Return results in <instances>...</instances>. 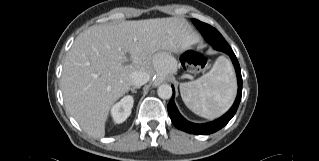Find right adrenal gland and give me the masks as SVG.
Here are the masks:
<instances>
[{
	"instance_id": "obj_1",
	"label": "right adrenal gland",
	"mask_w": 319,
	"mask_h": 161,
	"mask_svg": "<svg viewBox=\"0 0 319 161\" xmlns=\"http://www.w3.org/2000/svg\"><path fill=\"white\" fill-rule=\"evenodd\" d=\"M139 87H131L129 90L132 92V93H136L137 91L135 89H137Z\"/></svg>"
}]
</instances>
